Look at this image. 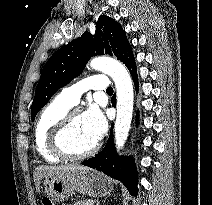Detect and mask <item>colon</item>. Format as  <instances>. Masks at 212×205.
Listing matches in <instances>:
<instances>
[{
  "mask_svg": "<svg viewBox=\"0 0 212 205\" xmlns=\"http://www.w3.org/2000/svg\"><path fill=\"white\" fill-rule=\"evenodd\" d=\"M42 205H54V203L50 199L45 198L42 200Z\"/></svg>",
  "mask_w": 212,
  "mask_h": 205,
  "instance_id": "obj_1",
  "label": "colon"
}]
</instances>
